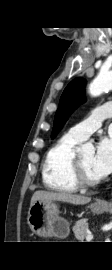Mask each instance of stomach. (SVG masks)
Masks as SVG:
<instances>
[{"label":"stomach","mask_w":112,"mask_h":270,"mask_svg":"<svg viewBox=\"0 0 112 270\" xmlns=\"http://www.w3.org/2000/svg\"><path fill=\"white\" fill-rule=\"evenodd\" d=\"M91 211L101 214L103 206L92 204ZM27 222L30 229L42 237L65 238L69 235V223L59 215L58 205L54 201H35L29 208Z\"/></svg>","instance_id":"1"}]
</instances>
